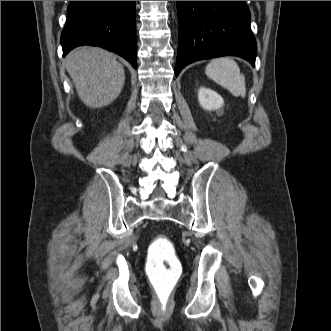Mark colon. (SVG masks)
Listing matches in <instances>:
<instances>
[{
	"instance_id": "colon-1",
	"label": "colon",
	"mask_w": 331,
	"mask_h": 331,
	"mask_svg": "<svg viewBox=\"0 0 331 331\" xmlns=\"http://www.w3.org/2000/svg\"><path fill=\"white\" fill-rule=\"evenodd\" d=\"M146 273L155 293L156 304L167 308L182 274V266L173 243L165 236L156 237L149 247Z\"/></svg>"
}]
</instances>
